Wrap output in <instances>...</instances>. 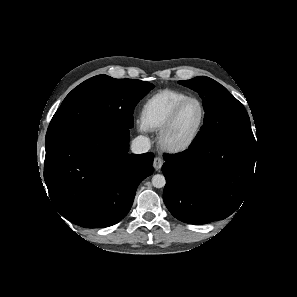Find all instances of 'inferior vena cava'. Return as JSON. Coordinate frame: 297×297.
<instances>
[{
    "mask_svg": "<svg viewBox=\"0 0 297 297\" xmlns=\"http://www.w3.org/2000/svg\"><path fill=\"white\" fill-rule=\"evenodd\" d=\"M151 148L150 139L146 136H137L131 144L132 153L142 154L149 151Z\"/></svg>",
    "mask_w": 297,
    "mask_h": 297,
    "instance_id": "obj_1",
    "label": "inferior vena cava"
}]
</instances>
